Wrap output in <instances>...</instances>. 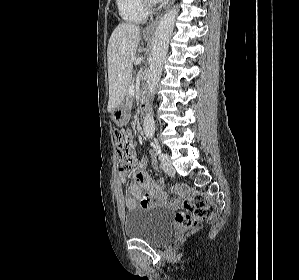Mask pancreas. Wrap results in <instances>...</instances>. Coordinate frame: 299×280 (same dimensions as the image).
<instances>
[{
  "label": "pancreas",
  "instance_id": "obj_1",
  "mask_svg": "<svg viewBox=\"0 0 299 280\" xmlns=\"http://www.w3.org/2000/svg\"><path fill=\"white\" fill-rule=\"evenodd\" d=\"M132 85H133V81H130L128 87H130ZM127 99H128V101L131 100V96L129 95V93H127Z\"/></svg>",
  "mask_w": 299,
  "mask_h": 280
}]
</instances>
